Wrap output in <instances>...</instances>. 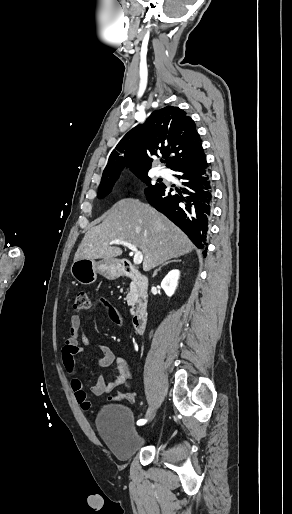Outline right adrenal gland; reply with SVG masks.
<instances>
[{"label":"right adrenal gland","instance_id":"1","mask_svg":"<svg viewBox=\"0 0 292 514\" xmlns=\"http://www.w3.org/2000/svg\"><path fill=\"white\" fill-rule=\"evenodd\" d=\"M171 262H181V260H171ZM171 262H166V264H162V266H160V268H158V270H155V272L153 274V278H154V276H157V272H159V270H161V268H163V266H167V264H171Z\"/></svg>","mask_w":292,"mask_h":514}]
</instances>
